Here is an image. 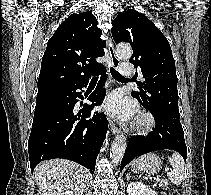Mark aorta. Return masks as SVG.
<instances>
[{
    "instance_id": "1",
    "label": "aorta",
    "mask_w": 211,
    "mask_h": 195,
    "mask_svg": "<svg viewBox=\"0 0 211 195\" xmlns=\"http://www.w3.org/2000/svg\"><path fill=\"white\" fill-rule=\"evenodd\" d=\"M116 54L121 59H129L132 55V49L127 44H120L117 46ZM126 146H127L126 136L123 134L117 135L111 145V150H110V158L114 165H118V163L121 161Z\"/></svg>"
}]
</instances>
